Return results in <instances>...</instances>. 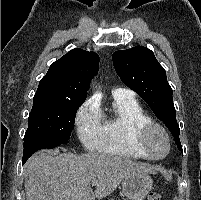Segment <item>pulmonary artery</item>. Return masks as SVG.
<instances>
[{
    "instance_id": "1",
    "label": "pulmonary artery",
    "mask_w": 201,
    "mask_h": 200,
    "mask_svg": "<svg viewBox=\"0 0 201 200\" xmlns=\"http://www.w3.org/2000/svg\"><path fill=\"white\" fill-rule=\"evenodd\" d=\"M113 94L115 95H121V94H126V95H130L132 96V92L127 90V89H124V88H117L114 90Z\"/></svg>"
}]
</instances>
